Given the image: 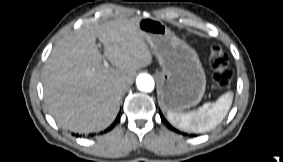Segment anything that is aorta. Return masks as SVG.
Listing matches in <instances>:
<instances>
[{
	"label": "aorta",
	"mask_w": 283,
	"mask_h": 162,
	"mask_svg": "<svg viewBox=\"0 0 283 162\" xmlns=\"http://www.w3.org/2000/svg\"><path fill=\"white\" fill-rule=\"evenodd\" d=\"M137 88L143 92H151L154 89L155 83L151 75L142 73L136 79Z\"/></svg>",
	"instance_id": "1"
}]
</instances>
